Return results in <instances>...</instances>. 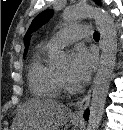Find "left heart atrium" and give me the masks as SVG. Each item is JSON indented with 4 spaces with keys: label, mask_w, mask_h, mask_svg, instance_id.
Returning a JSON list of instances; mask_svg holds the SVG:
<instances>
[{
    "label": "left heart atrium",
    "mask_w": 123,
    "mask_h": 130,
    "mask_svg": "<svg viewBox=\"0 0 123 130\" xmlns=\"http://www.w3.org/2000/svg\"><path fill=\"white\" fill-rule=\"evenodd\" d=\"M96 64L95 54L82 46L75 48L71 55L68 77L74 84H81L91 76Z\"/></svg>",
    "instance_id": "obj_1"
}]
</instances>
